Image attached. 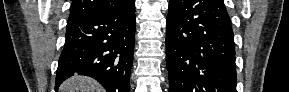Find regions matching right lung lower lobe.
Here are the masks:
<instances>
[{"label": "right lung lower lobe", "mask_w": 289, "mask_h": 92, "mask_svg": "<svg viewBox=\"0 0 289 92\" xmlns=\"http://www.w3.org/2000/svg\"><path fill=\"white\" fill-rule=\"evenodd\" d=\"M135 1L67 21L55 89L79 74L95 78L107 92H130Z\"/></svg>", "instance_id": "1"}]
</instances>
